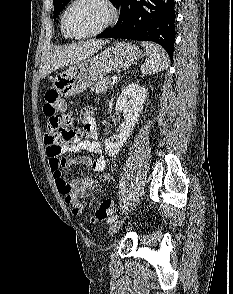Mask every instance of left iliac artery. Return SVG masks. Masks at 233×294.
I'll return each mask as SVG.
<instances>
[{
    "label": "left iliac artery",
    "mask_w": 233,
    "mask_h": 294,
    "mask_svg": "<svg viewBox=\"0 0 233 294\" xmlns=\"http://www.w3.org/2000/svg\"><path fill=\"white\" fill-rule=\"evenodd\" d=\"M119 216L118 215H113L111 217L108 218V223L112 224Z\"/></svg>",
    "instance_id": "1"
}]
</instances>
